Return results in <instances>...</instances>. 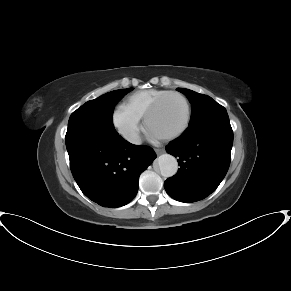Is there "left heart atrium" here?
<instances>
[{
    "instance_id": "left-heart-atrium-1",
    "label": "left heart atrium",
    "mask_w": 291,
    "mask_h": 291,
    "mask_svg": "<svg viewBox=\"0 0 291 291\" xmlns=\"http://www.w3.org/2000/svg\"><path fill=\"white\" fill-rule=\"evenodd\" d=\"M149 134H150L152 137H154V138H158V137H156L155 135H153V134H152V133H150V132H149Z\"/></svg>"
}]
</instances>
